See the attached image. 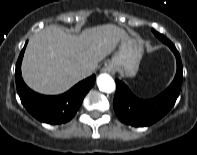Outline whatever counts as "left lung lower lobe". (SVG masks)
Instances as JSON below:
<instances>
[{
  "mask_svg": "<svg viewBox=\"0 0 197 155\" xmlns=\"http://www.w3.org/2000/svg\"><path fill=\"white\" fill-rule=\"evenodd\" d=\"M166 45L176 56L177 72L170 86L160 95L150 100L138 99L123 82L115 80L117 87L113 107L123 123L135 127L149 126L167 114L175 104L181 88L183 67L175 46L170 41Z\"/></svg>",
  "mask_w": 197,
  "mask_h": 155,
  "instance_id": "0a47b994",
  "label": "left lung lower lobe"
}]
</instances>
